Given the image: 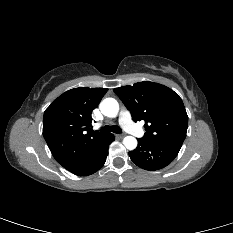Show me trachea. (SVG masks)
<instances>
[{
  "label": "trachea",
  "mask_w": 233,
  "mask_h": 233,
  "mask_svg": "<svg viewBox=\"0 0 233 233\" xmlns=\"http://www.w3.org/2000/svg\"><path fill=\"white\" fill-rule=\"evenodd\" d=\"M114 132V133H122V130L120 127L118 126H109V125H106L104 126L102 129H101V133H110V132Z\"/></svg>",
  "instance_id": "1"
}]
</instances>
